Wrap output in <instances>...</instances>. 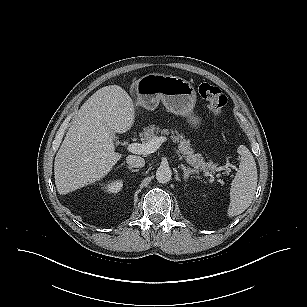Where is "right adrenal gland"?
I'll return each mask as SVG.
<instances>
[{
    "instance_id": "2a0ac1e0",
    "label": "right adrenal gland",
    "mask_w": 307,
    "mask_h": 307,
    "mask_svg": "<svg viewBox=\"0 0 307 307\" xmlns=\"http://www.w3.org/2000/svg\"><path fill=\"white\" fill-rule=\"evenodd\" d=\"M128 169H129L131 172H137V171H138V170L132 169L130 166H128Z\"/></svg>"
}]
</instances>
